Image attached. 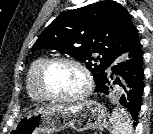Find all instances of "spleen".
Returning <instances> with one entry per match:
<instances>
[{
  "instance_id": "obj_1",
  "label": "spleen",
  "mask_w": 153,
  "mask_h": 134,
  "mask_svg": "<svg viewBox=\"0 0 153 134\" xmlns=\"http://www.w3.org/2000/svg\"><path fill=\"white\" fill-rule=\"evenodd\" d=\"M113 134H132L133 128L129 113L125 109L113 112L111 118Z\"/></svg>"
}]
</instances>
